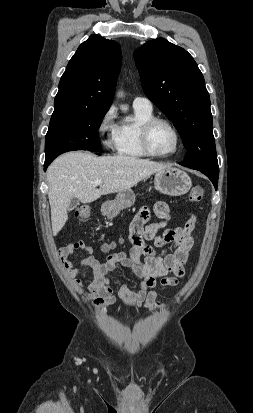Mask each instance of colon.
<instances>
[{
    "label": "colon",
    "instance_id": "5ec220e1",
    "mask_svg": "<svg viewBox=\"0 0 253 413\" xmlns=\"http://www.w3.org/2000/svg\"><path fill=\"white\" fill-rule=\"evenodd\" d=\"M203 198V188L200 186H194L190 193H189V199L192 202H200ZM77 219L79 220V222L83 223L85 222L91 213V207L89 205H82L80 206L77 211ZM115 244L114 243H110V244H104L102 246V249L104 251H109L112 248H114Z\"/></svg>",
    "mask_w": 253,
    "mask_h": 413
}]
</instances>
